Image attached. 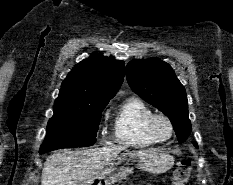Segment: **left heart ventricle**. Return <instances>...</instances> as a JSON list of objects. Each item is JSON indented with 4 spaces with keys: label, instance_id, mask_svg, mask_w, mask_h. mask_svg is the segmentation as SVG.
Returning a JSON list of instances; mask_svg holds the SVG:
<instances>
[{
    "label": "left heart ventricle",
    "instance_id": "b2bd125f",
    "mask_svg": "<svg viewBox=\"0 0 233 185\" xmlns=\"http://www.w3.org/2000/svg\"><path fill=\"white\" fill-rule=\"evenodd\" d=\"M156 129L158 134L163 138L168 137L170 134L169 126L164 120H158L156 124Z\"/></svg>",
    "mask_w": 233,
    "mask_h": 185
}]
</instances>
